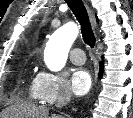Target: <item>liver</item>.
I'll return each instance as SVG.
<instances>
[{
  "mask_svg": "<svg viewBox=\"0 0 133 118\" xmlns=\"http://www.w3.org/2000/svg\"><path fill=\"white\" fill-rule=\"evenodd\" d=\"M3 118H50L48 109L43 106L17 104L9 107L1 115ZM51 118H58L52 115Z\"/></svg>",
  "mask_w": 133,
  "mask_h": 118,
  "instance_id": "1",
  "label": "liver"
}]
</instances>
